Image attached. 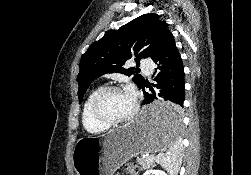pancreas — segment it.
<instances>
[{
    "label": "pancreas",
    "mask_w": 251,
    "mask_h": 175,
    "mask_svg": "<svg viewBox=\"0 0 251 175\" xmlns=\"http://www.w3.org/2000/svg\"><path fill=\"white\" fill-rule=\"evenodd\" d=\"M137 161L139 165H141V169H148L150 165H155L154 159L151 155H146V157H137Z\"/></svg>",
    "instance_id": "obj_1"
}]
</instances>
